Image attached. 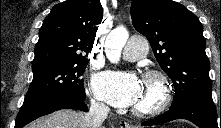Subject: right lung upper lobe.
Instances as JSON below:
<instances>
[{"label":"right lung upper lobe","instance_id":"1","mask_svg":"<svg viewBox=\"0 0 221 128\" xmlns=\"http://www.w3.org/2000/svg\"><path fill=\"white\" fill-rule=\"evenodd\" d=\"M103 18L99 0H67L43 21L32 71L88 60Z\"/></svg>","mask_w":221,"mask_h":128}]
</instances>
